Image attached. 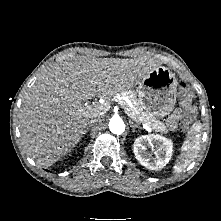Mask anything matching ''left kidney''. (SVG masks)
Wrapping results in <instances>:
<instances>
[{"mask_svg": "<svg viewBox=\"0 0 221 221\" xmlns=\"http://www.w3.org/2000/svg\"><path fill=\"white\" fill-rule=\"evenodd\" d=\"M150 147L155 157L146 150ZM133 151L139 163L150 170L163 168L171 159L173 144L166 137L150 134L139 136L135 142Z\"/></svg>", "mask_w": 221, "mask_h": 221, "instance_id": "5707ae66", "label": "left kidney"}]
</instances>
